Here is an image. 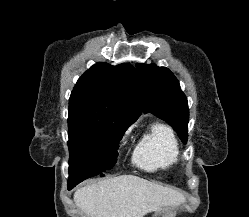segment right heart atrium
<instances>
[{"label":"right heart atrium","instance_id":"1","mask_svg":"<svg viewBox=\"0 0 249 217\" xmlns=\"http://www.w3.org/2000/svg\"><path fill=\"white\" fill-rule=\"evenodd\" d=\"M125 143V138H123V140H122V144H124Z\"/></svg>","mask_w":249,"mask_h":217}]
</instances>
